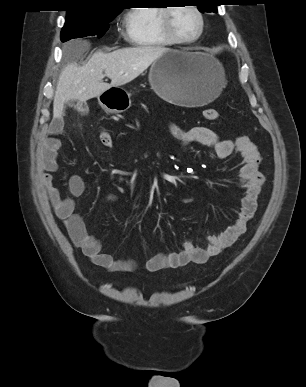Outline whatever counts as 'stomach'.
<instances>
[{"label": "stomach", "mask_w": 306, "mask_h": 387, "mask_svg": "<svg viewBox=\"0 0 306 387\" xmlns=\"http://www.w3.org/2000/svg\"><path fill=\"white\" fill-rule=\"evenodd\" d=\"M149 82L165 101L198 107L218 97L225 84V72L209 54L168 50L152 63ZM98 102L107 113H120L131 105L130 94L120 87L101 93Z\"/></svg>", "instance_id": "obj_1"}]
</instances>
